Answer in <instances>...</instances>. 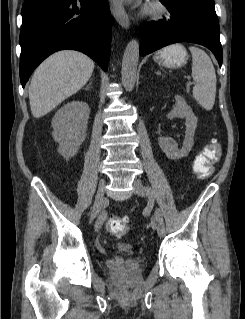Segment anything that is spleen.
<instances>
[{
  "label": "spleen",
  "instance_id": "1",
  "mask_svg": "<svg viewBox=\"0 0 245 319\" xmlns=\"http://www.w3.org/2000/svg\"><path fill=\"white\" fill-rule=\"evenodd\" d=\"M192 78L195 81L193 96L206 110H211L216 96V73L210 57L202 49L191 46Z\"/></svg>",
  "mask_w": 245,
  "mask_h": 319
}]
</instances>
